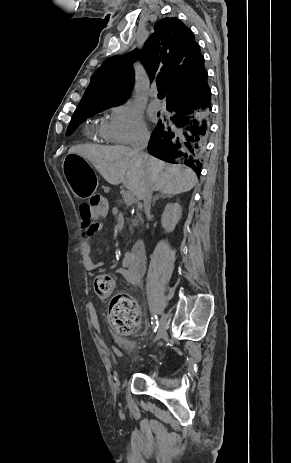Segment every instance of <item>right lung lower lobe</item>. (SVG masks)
<instances>
[{"label":"right lung lower lobe","mask_w":291,"mask_h":463,"mask_svg":"<svg viewBox=\"0 0 291 463\" xmlns=\"http://www.w3.org/2000/svg\"><path fill=\"white\" fill-rule=\"evenodd\" d=\"M167 109L173 114L172 124L165 127L161 121L158 122L148 151L166 162L191 167L199 177L210 125L211 90L207 73L198 96L176 97L167 102Z\"/></svg>","instance_id":"1"}]
</instances>
